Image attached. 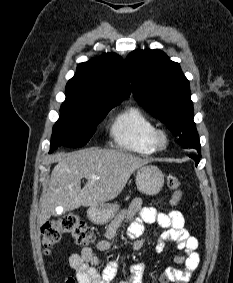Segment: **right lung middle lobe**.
<instances>
[{
	"label": "right lung middle lobe",
	"mask_w": 233,
	"mask_h": 283,
	"mask_svg": "<svg viewBox=\"0 0 233 283\" xmlns=\"http://www.w3.org/2000/svg\"><path fill=\"white\" fill-rule=\"evenodd\" d=\"M116 105H92L66 96L60 118L53 126L50 152L59 146L82 147L96 131V126Z\"/></svg>",
	"instance_id": "dd1d6c3e"
}]
</instances>
